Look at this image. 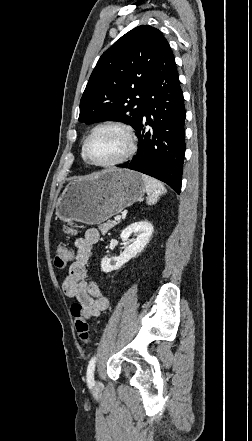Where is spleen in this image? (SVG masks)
Segmentation results:
<instances>
[{
	"mask_svg": "<svg viewBox=\"0 0 252 441\" xmlns=\"http://www.w3.org/2000/svg\"><path fill=\"white\" fill-rule=\"evenodd\" d=\"M143 179L145 182V189L147 193V204H155L159 200L160 196L165 194L167 190L160 181L152 177L143 175Z\"/></svg>",
	"mask_w": 252,
	"mask_h": 441,
	"instance_id": "spleen-1",
	"label": "spleen"
}]
</instances>
